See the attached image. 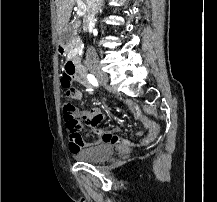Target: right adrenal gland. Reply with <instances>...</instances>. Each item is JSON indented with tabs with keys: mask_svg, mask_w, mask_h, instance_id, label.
<instances>
[{
	"mask_svg": "<svg viewBox=\"0 0 217 202\" xmlns=\"http://www.w3.org/2000/svg\"><path fill=\"white\" fill-rule=\"evenodd\" d=\"M103 2H104V0H101V2H99L98 12H97V14H101V12H102Z\"/></svg>",
	"mask_w": 217,
	"mask_h": 202,
	"instance_id": "right-adrenal-gland-1",
	"label": "right adrenal gland"
}]
</instances>
